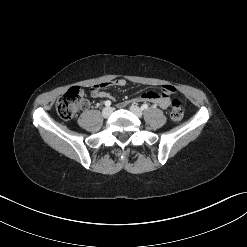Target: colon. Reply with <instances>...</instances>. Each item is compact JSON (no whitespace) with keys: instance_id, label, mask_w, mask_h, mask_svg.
Listing matches in <instances>:
<instances>
[{"instance_id":"5ec220e1","label":"colon","mask_w":247,"mask_h":247,"mask_svg":"<svg viewBox=\"0 0 247 247\" xmlns=\"http://www.w3.org/2000/svg\"><path fill=\"white\" fill-rule=\"evenodd\" d=\"M105 84L95 85V89H102ZM85 90L81 87H73L63 94L56 103V111L63 120H71L75 117L84 102ZM184 115L183 104L180 100H173L170 108V117L173 122L179 123Z\"/></svg>"}]
</instances>
